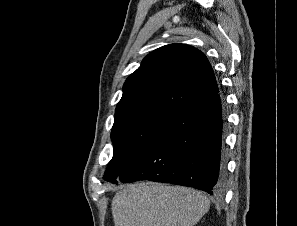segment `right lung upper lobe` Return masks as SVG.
Returning <instances> with one entry per match:
<instances>
[{
    "label": "right lung upper lobe",
    "mask_w": 297,
    "mask_h": 226,
    "mask_svg": "<svg viewBox=\"0 0 297 226\" xmlns=\"http://www.w3.org/2000/svg\"><path fill=\"white\" fill-rule=\"evenodd\" d=\"M219 88L207 57L186 44H170L148 54L123 86L115 122L148 115H173L216 94Z\"/></svg>",
    "instance_id": "1"
}]
</instances>
